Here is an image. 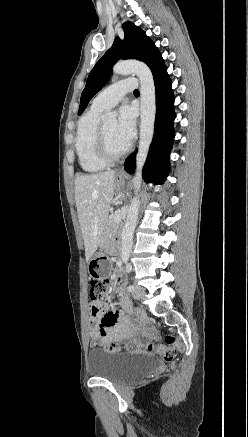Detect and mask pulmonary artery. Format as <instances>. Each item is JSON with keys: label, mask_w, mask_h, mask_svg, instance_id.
<instances>
[{"label": "pulmonary artery", "mask_w": 248, "mask_h": 437, "mask_svg": "<svg viewBox=\"0 0 248 437\" xmlns=\"http://www.w3.org/2000/svg\"><path fill=\"white\" fill-rule=\"evenodd\" d=\"M136 78L130 77L117 81L102 90L93 100L92 106L106 110L115 106L127 93L137 87Z\"/></svg>", "instance_id": "1"}]
</instances>
